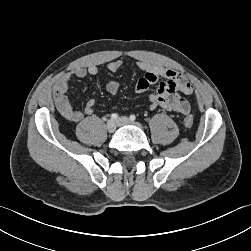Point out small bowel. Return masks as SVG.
<instances>
[{
  "instance_id": "c3829d8e",
  "label": "small bowel",
  "mask_w": 251,
  "mask_h": 251,
  "mask_svg": "<svg viewBox=\"0 0 251 251\" xmlns=\"http://www.w3.org/2000/svg\"><path fill=\"white\" fill-rule=\"evenodd\" d=\"M136 66L144 72V75L137 81L135 91L138 94L145 93L150 87L155 85L160 79H164L158 84L155 92L148 96L149 107L154 110L158 107L167 111L176 112L182 115L188 114L190 105L181 95H191L193 93L192 83L180 72L169 69L151 62L138 61ZM122 67L120 60L112 61L107 65L111 72H116ZM99 70L95 65L80 67L72 73L61 76L53 88V97L58 112L63 118L71 122H79L84 117L93 113L95 100L89 99L83 109H77L68 97L70 79L72 76L85 78L86 76H96ZM106 90L110 94H116L119 90V83L111 80L106 84Z\"/></svg>"
}]
</instances>
